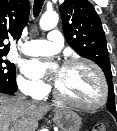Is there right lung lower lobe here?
Returning a JSON list of instances; mask_svg holds the SVG:
<instances>
[{
  "label": "right lung lower lobe",
  "instance_id": "obj_1",
  "mask_svg": "<svg viewBox=\"0 0 117 131\" xmlns=\"http://www.w3.org/2000/svg\"><path fill=\"white\" fill-rule=\"evenodd\" d=\"M0 92L5 93V94H13L14 93V91H8V90H6L4 88H0Z\"/></svg>",
  "mask_w": 117,
  "mask_h": 131
}]
</instances>
